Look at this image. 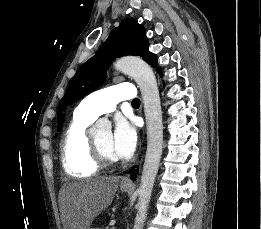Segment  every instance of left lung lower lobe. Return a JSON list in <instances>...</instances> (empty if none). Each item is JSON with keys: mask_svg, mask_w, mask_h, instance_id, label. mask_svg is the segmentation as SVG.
I'll use <instances>...</instances> for the list:
<instances>
[{"mask_svg": "<svg viewBox=\"0 0 261 229\" xmlns=\"http://www.w3.org/2000/svg\"><path fill=\"white\" fill-rule=\"evenodd\" d=\"M133 171H134V168H132L131 170H130V173H133ZM137 172H138V169H136V172L133 174V175H131V179L132 180H135L136 179V174H137Z\"/></svg>", "mask_w": 261, "mask_h": 229, "instance_id": "left-lung-lower-lobe-1", "label": "left lung lower lobe"}]
</instances>
